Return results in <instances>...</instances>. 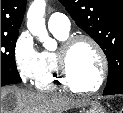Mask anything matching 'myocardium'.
<instances>
[{
	"instance_id": "obj_1",
	"label": "myocardium",
	"mask_w": 123,
	"mask_h": 113,
	"mask_svg": "<svg viewBox=\"0 0 123 113\" xmlns=\"http://www.w3.org/2000/svg\"><path fill=\"white\" fill-rule=\"evenodd\" d=\"M79 42H88L89 44H91L100 58V74L96 84L92 88H83L82 86L77 85L72 81L69 73L68 68L69 56L73 48ZM57 64L60 77L64 82V84L71 90L76 91L78 93L83 94L96 93L103 86L108 76V59L105 51L95 38L86 34H77L68 36L65 40L62 41V44L57 51Z\"/></svg>"
}]
</instances>
